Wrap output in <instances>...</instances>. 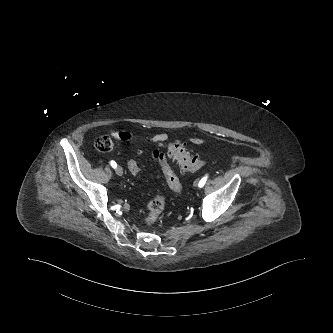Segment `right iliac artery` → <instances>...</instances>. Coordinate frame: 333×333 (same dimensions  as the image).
<instances>
[{
	"label": "right iliac artery",
	"mask_w": 333,
	"mask_h": 333,
	"mask_svg": "<svg viewBox=\"0 0 333 333\" xmlns=\"http://www.w3.org/2000/svg\"><path fill=\"white\" fill-rule=\"evenodd\" d=\"M110 165H111L113 168H116V167H117V164H116V162H115V161H113V160L110 162Z\"/></svg>",
	"instance_id": "right-iliac-artery-1"
}]
</instances>
